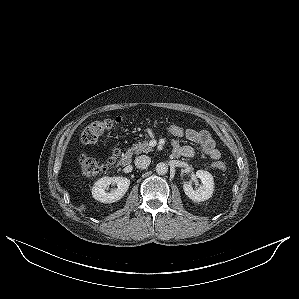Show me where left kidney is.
<instances>
[{
  "label": "left kidney",
  "mask_w": 299,
  "mask_h": 299,
  "mask_svg": "<svg viewBox=\"0 0 299 299\" xmlns=\"http://www.w3.org/2000/svg\"><path fill=\"white\" fill-rule=\"evenodd\" d=\"M196 177L201 180L202 185L197 190H194L191 183L184 182L183 190L185 194L191 200L196 202L208 200L212 196V193L214 191L213 176L207 171L198 170L196 172Z\"/></svg>",
  "instance_id": "left-kidney-1"
}]
</instances>
